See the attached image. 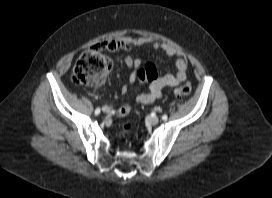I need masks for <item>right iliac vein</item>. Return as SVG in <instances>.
Instances as JSON below:
<instances>
[{
  "label": "right iliac vein",
  "instance_id": "63e3f726",
  "mask_svg": "<svg viewBox=\"0 0 272 198\" xmlns=\"http://www.w3.org/2000/svg\"><path fill=\"white\" fill-rule=\"evenodd\" d=\"M102 111H103L104 113H109V112H110V107H109V106H103V107H102Z\"/></svg>",
  "mask_w": 272,
  "mask_h": 198
}]
</instances>
